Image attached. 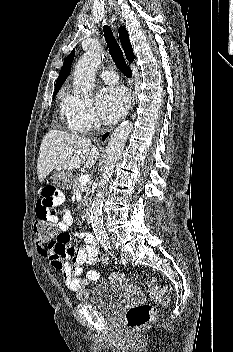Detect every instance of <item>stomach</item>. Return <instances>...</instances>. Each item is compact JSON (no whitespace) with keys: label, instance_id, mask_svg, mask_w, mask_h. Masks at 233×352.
Segmentation results:
<instances>
[{"label":"stomach","instance_id":"0dacf381","mask_svg":"<svg viewBox=\"0 0 233 352\" xmlns=\"http://www.w3.org/2000/svg\"><path fill=\"white\" fill-rule=\"evenodd\" d=\"M53 180L57 187L61 189H70L72 183V175L67 170H55L53 172Z\"/></svg>","mask_w":233,"mask_h":352}]
</instances>
